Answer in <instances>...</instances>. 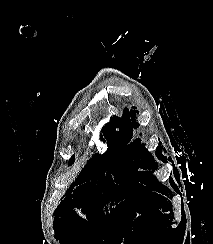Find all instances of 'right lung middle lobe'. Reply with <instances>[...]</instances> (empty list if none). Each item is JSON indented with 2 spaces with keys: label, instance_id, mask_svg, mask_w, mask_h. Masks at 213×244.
I'll use <instances>...</instances> for the list:
<instances>
[{
  "label": "right lung middle lobe",
  "instance_id": "right-lung-middle-lobe-1",
  "mask_svg": "<svg viewBox=\"0 0 213 244\" xmlns=\"http://www.w3.org/2000/svg\"><path fill=\"white\" fill-rule=\"evenodd\" d=\"M114 134L113 129L107 132L105 130L104 135L109 146L108 153L106 152L103 155H96L93 157L87 167L84 168L82 176L76 180L73 185L78 183H83L87 181L86 184H91L95 182L100 177L107 178L110 176L111 179L113 176H116L117 173L125 171L127 168V163L125 158H123L122 151H125V145L119 136ZM124 149V150H123ZM74 157L72 156L70 164H73Z\"/></svg>",
  "mask_w": 213,
  "mask_h": 244
}]
</instances>
